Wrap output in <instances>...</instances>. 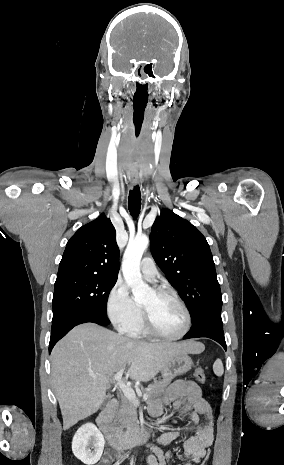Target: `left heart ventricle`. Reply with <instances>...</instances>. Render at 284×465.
Wrapping results in <instances>:
<instances>
[{
	"label": "left heart ventricle",
	"mask_w": 284,
	"mask_h": 465,
	"mask_svg": "<svg viewBox=\"0 0 284 465\" xmlns=\"http://www.w3.org/2000/svg\"><path fill=\"white\" fill-rule=\"evenodd\" d=\"M140 306L150 313L151 324L157 334L173 337L183 331L185 316L180 307L173 301L158 297L153 292Z\"/></svg>",
	"instance_id": "1"
}]
</instances>
